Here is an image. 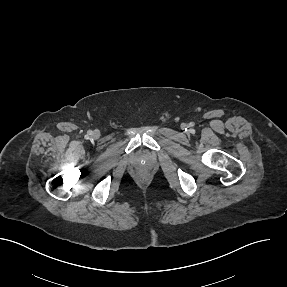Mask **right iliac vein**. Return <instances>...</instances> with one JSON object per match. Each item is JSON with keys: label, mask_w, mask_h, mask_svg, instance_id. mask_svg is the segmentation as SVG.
<instances>
[{"label": "right iliac vein", "mask_w": 287, "mask_h": 287, "mask_svg": "<svg viewBox=\"0 0 287 287\" xmlns=\"http://www.w3.org/2000/svg\"><path fill=\"white\" fill-rule=\"evenodd\" d=\"M93 135H94V137H97V136H98V133L95 132Z\"/></svg>", "instance_id": "right-iliac-vein-1"}]
</instances>
